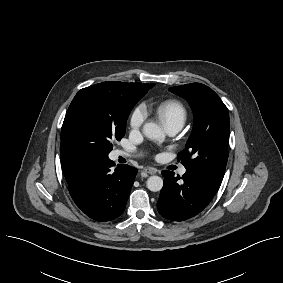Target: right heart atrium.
<instances>
[{"instance_id":"d8ad5b80","label":"right heart atrium","mask_w":283,"mask_h":283,"mask_svg":"<svg viewBox=\"0 0 283 283\" xmlns=\"http://www.w3.org/2000/svg\"><path fill=\"white\" fill-rule=\"evenodd\" d=\"M146 119L144 106L139 105L134 108L129 118V126L132 131H138Z\"/></svg>"}]
</instances>
